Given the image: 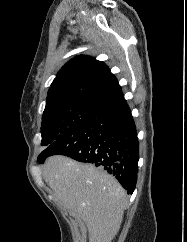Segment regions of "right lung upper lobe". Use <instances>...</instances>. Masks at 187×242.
Returning <instances> with one entry per match:
<instances>
[{"instance_id":"right-lung-upper-lobe-1","label":"right lung upper lobe","mask_w":187,"mask_h":242,"mask_svg":"<svg viewBox=\"0 0 187 242\" xmlns=\"http://www.w3.org/2000/svg\"><path fill=\"white\" fill-rule=\"evenodd\" d=\"M123 97L108 66L82 55L71 59L58 72L49 88L44 111L76 103L105 108Z\"/></svg>"}]
</instances>
